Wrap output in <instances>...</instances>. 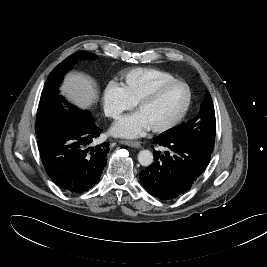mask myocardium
Here are the masks:
<instances>
[{"instance_id": "1", "label": "myocardium", "mask_w": 267, "mask_h": 267, "mask_svg": "<svg viewBox=\"0 0 267 267\" xmlns=\"http://www.w3.org/2000/svg\"><path fill=\"white\" fill-rule=\"evenodd\" d=\"M172 85H182L186 88V91H187L186 103H185L182 111L174 119H172L166 123L150 127V129L153 132L162 133V132H166L168 130H171V129L177 127L185 119V117L187 116V114L190 110L191 104H192V91H191L190 86L185 81L180 80V79H173L170 81H166V82L159 84L154 89H152L148 93L141 96L138 99V101L136 102V108L139 110V108L142 105H144L148 102H151L152 100L157 98L162 93L163 90H165L166 88H168Z\"/></svg>"}]
</instances>
